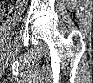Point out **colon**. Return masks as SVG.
<instances>
[{"label":"colon","mask_w":93,"mask_h":83,"mask_svg":"<svg viewBox=\"0 0 93 83\" xmlns=\"http://www.w3.org/2000/svg\"><path fill=\"white\" fill-rule=\"evenodd\" d=\"M8 3H15L20 4L24 3V1L17 2V1H7ZM16 10L11 6H4L1 9V20L2 22H8L12 19L13 15L15 14Z\"/></svg>","instance_id":"obj_1"}]
</instances>
